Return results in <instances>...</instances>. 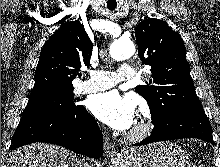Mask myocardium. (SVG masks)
I'll return each mask as SVG.
<instances>
[{"instance_id": "obj_1", "label": "myocardium", "mask_w": 220, "mask_h": 167, "mask_svg": "<svg viewBox=\"0 0 220 167\" xmlns=\"http://www.w3.org/2000/svg\"><path fill=\"white\" fill-rule=\"evenodd\" d=\"M154 124L150 115H143L138 119L134 128L128 134L131 141H141L148 137L153 131Z\"/></svg>"}]
</instances>
